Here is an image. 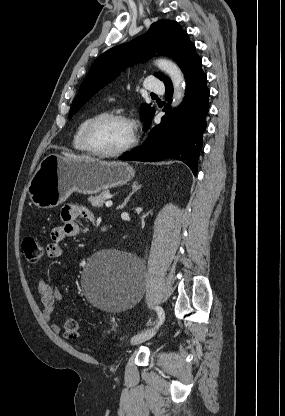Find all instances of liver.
Here are the masks:
<instances>
[{
  "label": "liver",
  "mask_w": 285,
  "mask_h": 416,
  "mask_svg": "<svg viewBox=\"0 0 285 416\" xmlns=\"http://www.w3.org/2000/svg\"><path fill=\"white\" fill-rule=\"evenodd\" d=\"M63 156H65V158H72V160H95V158H90V156H84V154H82V156H75V154H66V152H62Z\"/></svg>",
  "instance_id": "1"
}]
</instances>
